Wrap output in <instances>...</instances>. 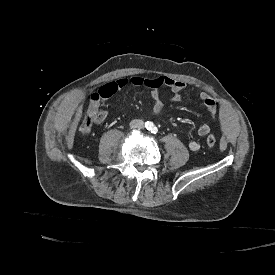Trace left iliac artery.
Masks as SVG:
<instances>
[{"mask_svg": "<svg viewBox=\"0 0 275 275\" xmlns=\"http://www.w3.org/2000/svg\"><path fill=\"white\" fill-rule=\"evenodd\" d=\"M158 132L157 127H152L151 133L156 134Z\"/></svg>", "mask_w": 275, "mask_h": 275, "instance_id": "left-iliac-artery-1", "label": "left iliac artery"}]
</instances>
